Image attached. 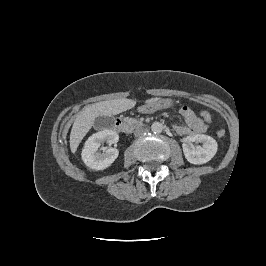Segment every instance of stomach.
Segmentation results:
<instances>
[{
	"label": "stomach",
	"instance_id": "obj_1",
	"mask_svg": "<svg viewBox=\"0 0 266 266\" xmlns=\"http://www.w3.org/2000/svg\"><path fill=\"white\" fill-rule=\"evenodd\" d=\"M169 102H166L165 101H160V102H152V103H147L146 105H144L141 110L143 112H146V113H153L155 112L156 110L162 108V107H165L166 105H168Z\"/></svg>",
	"mask_w": 266,
	"mask_h": 266
}]
</instances>
